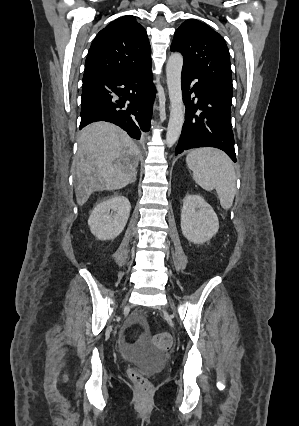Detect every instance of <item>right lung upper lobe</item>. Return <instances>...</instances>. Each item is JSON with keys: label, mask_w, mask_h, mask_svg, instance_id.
Wrapping results in <instances>:
<instances>
[{"label": "right lung upper lobe", "mask_w": 299, "mask_h": 426, "mask_svg": "<svg viewBox=\"0 0 299 426\" xmlns=\"http://www.w3.org/2000/svg\"><path fill=\"white\" fill-rule=\"evenodd\" d=\"M151 65L147 33L134 16L126 15L102 29L91 44L83 81L104 79Z\"/></svg>", "instance_id": "1"}]
</instances>
